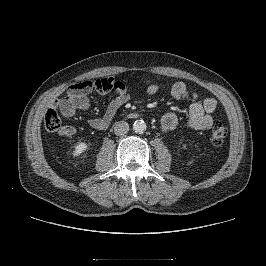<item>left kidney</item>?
I'll list each match as a JSON object with an SVG mask.
<instances>
[{
	"instance_id": "5707ae66",
	"label": "left kidney",
	"mask_w": 266,
	"mask_h": 266,
	"mask_svg": "<svg viewBox=\"0 0 266 266\" xmlns=\"http://www.w3.org/2000/svg\"><path fill=\"white\" fill-rule=\"evenodd\" d=\"M183 148L186 149V144L183 145Z\"/></svg>"
}]
</instances>
